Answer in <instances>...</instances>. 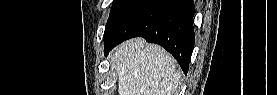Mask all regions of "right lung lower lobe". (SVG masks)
Returning a JSON list of instances; mask_svg holds the SVG:
<instances>
[{
  "mask_svg": "<svg viewBox=\"0 0 277 95\" xmlns=\"http://www.w3.org/2000/svg\"><path fill=\"white\" fill-rule=\"evenodd\" d=\"M194 13L192 0H146L104 40V53L141 36L164 47L187 73L195 39Z\"/></svg>",
  "mask_w": 277,
  "mask_h": 95,
  "instance_id": "1",
  "label": "right lung lower lobe"
}]
</instances>
